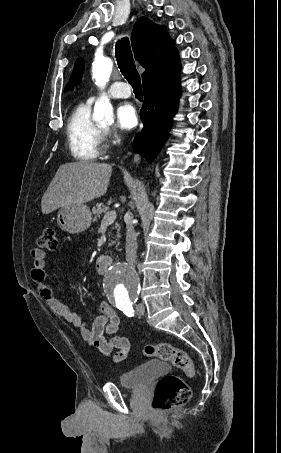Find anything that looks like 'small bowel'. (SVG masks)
Instances as JSON below:
<instances>
[{
    "label": "small bowel",
    "instance_id": "obj_1",
    "mask_svg": "<svg viewBox=\"0 0 281 453\" xmlns=\"http://www.w3.org/2000/svg\"><path fill=\"white\" fill-rule=\"evenodd\" d=\"M31 258L33 266L30 270V279L36 284L38 293L46 304L64 320L76 327L88 346L99 350L106 356H112L115 362L125 360L129 353L130 342L128 338L116 334L120 318L110 303L104 301L100 304V316L91 325L84 323L78 314L61 303L51 291L47 283V257L45 252L33 250ZM113 350L118 352L112 355Z\"/></svg>",
    "mask_w": 281,
    "mask_h": 453
}]
</instances>
